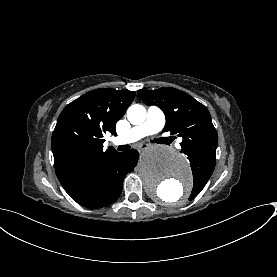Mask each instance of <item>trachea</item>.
I'll list each match as a JSON object with an SVG mask.
<instances>
[{
    "instance_id": "3493384b",
    "label": "trachea",
    "mask_w": 277,
    "mask_h": 277,
    "mask_svg": "<svg viewBox=\"0 0 277 277\" xmlns=\"http://www.w3.org/2000/svg\"><path fill=\"white\" fill-rule=\"evenodd\" d=\"M129 149H130L129 145H121V146L118 147L119 151H127Z\"/></svg>"
}]
</instances>
